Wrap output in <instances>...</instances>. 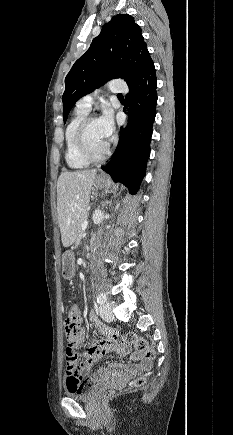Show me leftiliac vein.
I'll return each mask as SVG.
<instances>
[{"mask_svg":"<svg viewBox=\"0 0 233 435\" xmlns=\"http://www.w3.org/2000/svg\"><path fill=\"white\" fill-rule=\"evenodd\" d=\"M99 313H100L101 318L104 321L110 322L114 319L111 305L108 302H105V303L100 305Z\"/></svg>","mask_w":233,"mask_h":435,"instance_id":"left-iliac-vein-1","label":"left iliac vein"}]
</instances>
